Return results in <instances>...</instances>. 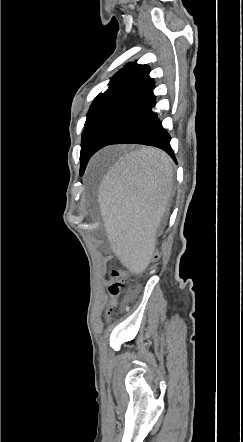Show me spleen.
<instances>
[{"label": "spleen", "instance_id": "1", "mask_svg": "<svg viewBox=\"0 0 243 442\" xmlns=\"http://www.w3.org/2000/svg\"><path fill=\"white\" fill-rule=\"evenodd\" d=\"M169 158L160 150L142 148L121 158L103 179L100 209L103 224L111 226L118 240H123L124 263H145L153 252L158 219L165 214L168 193L166 181L171 178Z\"/></svg>", "mask_w": 243, "mask_h": 442}]
</instances>
